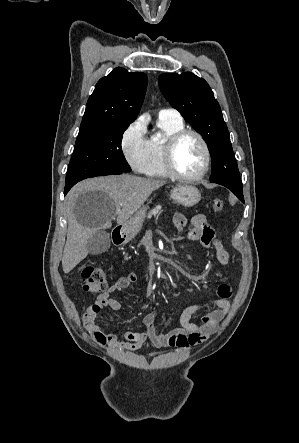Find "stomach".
I'll return each mask as SVG.
<instances>
[{
	"instance_id": "1",
	"label": "stomach",
	"mask_w": 299,
	"mask_h": 443,
	"mask_svg": "<svg viewBox=\"0 0 299 443\" xmlns=\"http://www.w3.org/2000/svg\"><path fill=\"white\" fill-rule=\"evenodd\" d=\"M170 198L184 207H192L201 200L199 190L192 185H179L170 193ZM148 206H143L133 217L123 225L124 242L132 240L140 231Z\"/></svg>"
}]
</instances>
